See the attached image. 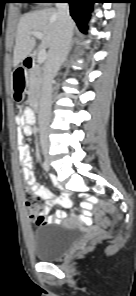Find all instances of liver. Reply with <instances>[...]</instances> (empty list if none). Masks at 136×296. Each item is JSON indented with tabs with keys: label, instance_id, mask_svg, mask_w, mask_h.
Segmentation results:
<instances>
[{
	"label": "liver",
	"instance_id": "6515ba94",
	"mask_svg": "<svg viewBox=\"0 0 136 296\" xmlns=\"http://www.w3.org/2000/svg\"><path fill=\"white\" fill-rule=\"evenodd\" d=\"M59 17L57 9L45 8L25 14L19 22L13 51V67L16 68L32 52L36 45L33 31L42 32L41 47L51 49L56 43L59 33ZM72 31L75 23L72 21Z\"/></svg>",
	"mask_w": 136,
	"mask_h": 296
}]
</instances>
